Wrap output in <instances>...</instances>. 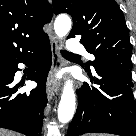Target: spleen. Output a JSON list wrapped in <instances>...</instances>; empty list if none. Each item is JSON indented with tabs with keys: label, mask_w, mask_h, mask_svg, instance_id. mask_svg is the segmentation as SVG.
<instances>
[{
	"label": "spleen",
	"mask_w": 136,
	"mask_h": 136,
	"mask_svg": "<svg viewBox=\"0 0 136 136\" xmlns=\"http://www.w3.org/2000/svg\"><path fill=\"white\" fill-rule=\"evenodd\" d=\"M91 136H103V135H91ZM105 136V135H104Z\"/></svg>",
	"instance_id": "obj_1"
}]
</instances>
